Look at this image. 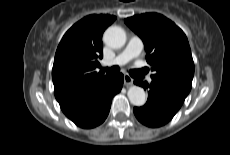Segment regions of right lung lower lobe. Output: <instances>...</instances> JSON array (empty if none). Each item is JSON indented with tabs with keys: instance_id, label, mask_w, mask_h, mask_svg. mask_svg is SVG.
Instances as JSON below:
<instances>
[{
	"instance_id": "98d812e1",
	"label": "right lung lower lobe",
	"mask_w": 230,
	"mask_h": 155,
	"mask_svg": "<svg viewBox=\"0 0 230 155\" xmlns=\"http://www.w3.org/2000/svg\"><path fill=\"white\" fill-rule=\"evenodd\" d=\"M123 81V74H110L85 93L59 102L60 107L63 113L79 127H96L108 116L112 98L121 91Z\"/></svg>"
}]
</instances>
